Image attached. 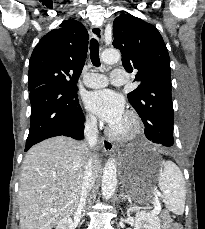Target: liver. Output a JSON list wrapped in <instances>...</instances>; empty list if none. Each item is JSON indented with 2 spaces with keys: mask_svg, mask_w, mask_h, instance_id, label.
<instances>
[{
  "mask_svg": "<svg viewBox=\"0 0 205 229\" xmlns=\"http://www.w3.org/2000/svg\"><path fill=\"white\" fill-rule=\"evenodd\" d=\"M89 157L96 178L99 156L82 142L58 136L30 148L20 175V229H52L77 210Z\"/></svg>",
  "mask_w": 205,
  "mask_h": 229,
  "instance_id": "liver-1",
  "label": "liver"
}]
</instances>
